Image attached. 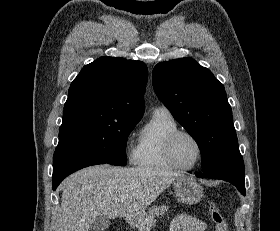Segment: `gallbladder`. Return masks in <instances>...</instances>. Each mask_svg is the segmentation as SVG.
<instances>
[{"instance_id":"obj_1","label":"gallbladder","mask_w":280,"mask_h":231,"mask_svg":"<svg viewBox=\"0 0 280 231\" xmlns=\"http://www.w3.org/2000/svg\"><path fill=\"white\" fill-rule=\"evenodd\" d=\"M110 223V219H106V217H102V215H97V217L89 223V231H102V229H107Z\"/></svg>"}]
</instances>
